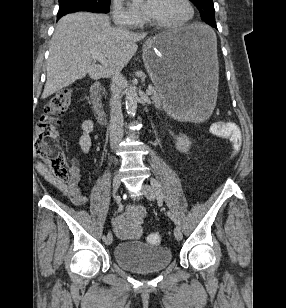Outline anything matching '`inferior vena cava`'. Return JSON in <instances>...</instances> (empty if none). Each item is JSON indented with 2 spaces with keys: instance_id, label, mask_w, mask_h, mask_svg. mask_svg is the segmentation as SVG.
I'll use <instances>...</instances> for the list:
<instances>
[{
  "instance_id": "inferior-vena-cava-1",
  "label": "inferior vena cava",
  "mask_w": 286,
  "mask_h": 308,
  "mask_svg": "<svg viewBox=\"0 0 286 308\" xmlns=\"http://www.w3.org/2000/svg\"><path fill=\"white\" fill-rule=\"evenodd\" d=\"M124 77L119 70L112 74L110 85V145L114 149L123 138V114L121 109V88Z\"/></svg>"
}]
</instances>
